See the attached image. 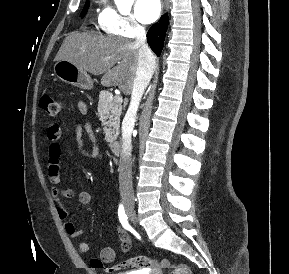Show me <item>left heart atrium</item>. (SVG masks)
<instances>
[{
	"mask_svg": "<svg viewBox=\"0 0 289 274\" xmlns=\"http://www.w3.org/2000/svg\"><path fill=\"white\" fill-rule=\"evenodd\" d=\"M161 13L160 0H137L135 14L139 21L148 24L154 22Z\"/></svg>",
	"mask_w": 289,
	"mask_h": 274,
	"instance_id": "1",
	"label": "left heart atrium"
}]
</instances>
